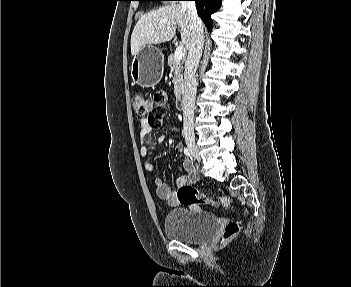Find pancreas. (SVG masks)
Returning a JSON list of instances; mask_svg holds the SVG:
<instances>
[{"label": "pancreas", "instance_id": "obj_1", "mask_svg": "<svg viewBox=\"0 0 351 287\" xmlns=\"http://www.w3.org/2000/svg\"><path fill=\"white\" fill-rule=\"evenodd\" d=\"M168 66L170 67L173 76L175 94L179 95L184 87L182 64L180 61H176L172 54L168 57Z\"/></svg>", "mask_w": 351, "mask_h": 287}]
</instances>
